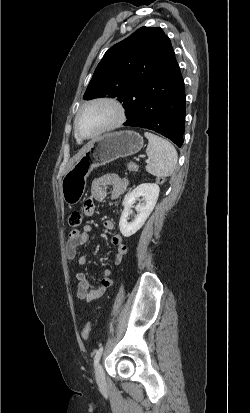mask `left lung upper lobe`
Wrapping results in <instances>:
<instances>
[{
  "label": "left lung upper lobe",
  "mask_w": 250,
  "mask_h": 413,
  "mask_svg": "<svg viewBox=\"0 0 250 413\" xmlns=\"http://www.w3.org/2000/svg\"><path fill=\"white\" fill-rule=\"evenodd\" d=\"M172 50L161 28L141 27L104 54L83 98L118 97L125 107L144 80L163 74Z\"/></svg>",
  "instance_id": "left-lung-upper-lobe-1"
}]
</instances>
